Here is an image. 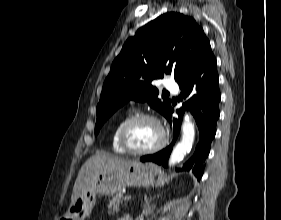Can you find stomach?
Here are the masks:
<instances>
[{"mask_svg": "<svg viewBox=\"0 0 281 220\" xmlns=\"http://www.w3.org/2000/svg\"><path fill=\"white\" fill-rule=\"evenodd\" d=\"M157 174V166L139 162L125 168L100 172L70 205L62 220H85L91 214L97 194H114L129 186L147 187L155 182Z\"/></svg>", "mask_w": 281, "mask_h": 220, "instance_id": "stomach-1", "label": "stomach"}]
</instances>
